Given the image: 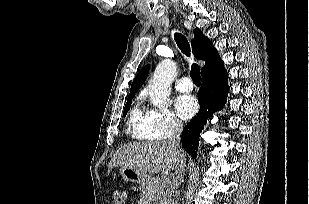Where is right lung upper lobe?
Returning a JSON list of instances; mask_svg holds the SVG:
<instances>
[{"instance_id":"1","label":"right lung upper lobe","mask_w":309,"mask_h":204,"mask_svg":"<svg viewBox=\"0 0 309 204\" xmlns=\"http://www.w3.org/2000/svg\"><path fill=\"white\" fill-rule=\"evenodd\" d=\"M194 35V39L191 40L194 56L197 59H202L205 61V66L201 69L202 75L222 67L223 61L210 40L204 36L198 28L194 30ZM149 68L150 65H147L139 71L133 80L128 99L133 98L135 92L141 87L146 79Z\"/></svg>"}]
</instances>
